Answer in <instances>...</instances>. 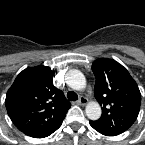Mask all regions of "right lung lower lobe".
I'll return each instance as SVG.
<instances>
[{
	"instance_id": "98d812e1",
	"label": "right lung lower lobe",
	"mask_w": 145,
	"mask_h": 145,
	"mask_svg": "<svg viewBox=\"0 0 145 145\" xmlns=\"http://www.w3.org/2000/svg\"><path fill=\"white\" fill-rule=\"evenodd\" d=\"M60 125H61V124H60ZM60 125H59L57 128H55L54 130H52V131H50V132H48V133H46V134H43V135H41V136H39V137H35V138H43V137L49 136L50 134H52L53 132H55V131L60 127Z\"/></svg>"
}]
</instances>
